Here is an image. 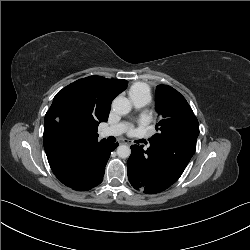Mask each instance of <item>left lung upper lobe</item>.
<instances>
[{
	"label": "left lung upper lobe",
	"instance_id": "5c2ea615",
	"mask_svg": "<svg viewBox=\"0 0 250 250\" xmlns=\"http://www.w3.org/2000/svg\"><path fill=\"white\" fill-rule=\"evenodd\" d=\"M156 111L161 120L156 124L158 133L150 140L164 142L199 135V123L186 99L174 88L159 85L156 90Z\"/></svg>",
	"mask_w": 250,
	"mask_h": 250
}]
</instances>
